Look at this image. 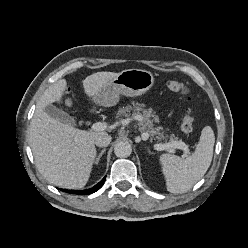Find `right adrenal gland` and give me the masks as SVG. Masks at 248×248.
Returning <instances> with one entry per match:
<instances>
[{"mask_svg": "<svg viewBox=\"0 0 248 248\" xmlns=\"http://www.w3.org/2000/svg\"><path fill=\"white\" fill-rule=\"evenodd\" d=\"M106 149L101 150V152L99 153L98 157L96 158L95 164L98 165L100 158L102 157V155L105 153Z\"/></svg>", "mask_w": 248, "mask_h": 248, "instance_id": "2a0ac1e0", "label": "right adrenal gland"}]
</instances>
